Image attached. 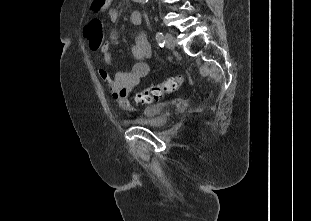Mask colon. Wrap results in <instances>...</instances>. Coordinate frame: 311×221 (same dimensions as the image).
<instances>
[{
    "label": "colon",
    "instance_id": "colon-1",
    "mask_svg": "<svg viewBox=\"0 0 311 221\" xmlns=\"http://www.w3.org/2000/svg\"><path fill=\"white\" fill-rule=\"evenodd\" d=\"M87 34L90 47L93 50H98L104 35L103 23L99 18H93L88 22ZM184 82L185 77L182 75L171 76L160 83L137 91L133 94L132 99L137 103L150 105L155 101L161 100L166 94L177 91Z\"/></svg>",
    "mask_w": 311,
    "mask_h": 221
}]
</instances>
